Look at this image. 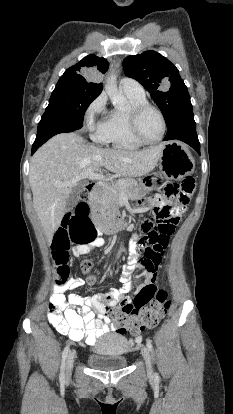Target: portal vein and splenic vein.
<instances>
[{
    "mask_svg": "<svg viewBox=\"0 0 233 414\" xmlns=\"http://www.w3.org/2000/svg\"><path fill=\"white\" fill-rule=\"evenodd\" d=\"M86 178L91 179V180H101L104 179V176L102 174H98V173H87ZM119 185H124V182L121 180H117L116 181Z\"/></svg>",
    "mask_w": 233,
    "mask_h": 414,
    "instance_id": "obj_1",
    "label": "portal vein and splenic vein"
}]
</instances>
